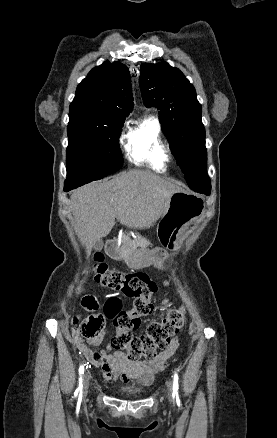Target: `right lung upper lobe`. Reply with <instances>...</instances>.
<instances>
[{
    "label": "right lung upper lobe",
    "instance_id": "obj_1",
    "mask_svg": "<svg viewBox=\"0 0 277 438\" xmlns=\"http://www.w3.org/2000/svg\"><path fill=\"white\" fill-rule=\"evenodd\" d=\"M133 109L130 73L125 64L104 62L93 68L76 89L69 121L117 123Z\"/></svg>",
    "mask_w": 277,
    "mask_h": 438
}]
</instances>
